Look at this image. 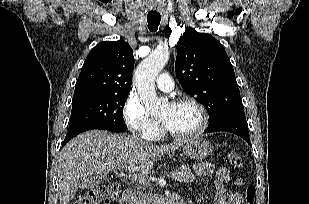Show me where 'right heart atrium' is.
Segmentation results:
<instances>
[{"label":"right heart atrium","instance_id":"1","mask_svg":"<svg viewBox=\"0 0 309 204\" xmlns=\"http://www.w3.org/2000/svg\"><path fill=\"white\" fill-rule=\"evenodd\" d=\"M123 115L132 133L146 140H154L160 133L159 122L151 117L143 104L134 96L126 99Z\"/></svg>","mask_w":309,"mask_h":204}]
</instances>
